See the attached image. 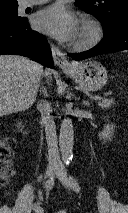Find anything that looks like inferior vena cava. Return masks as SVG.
I'll return each mask as SVG.
<instances>
[{
  "label": "inferior vena cava",
  "mask_w": 128,
  "mask_h": 213,
  "mask_svg": "<svg viewBox=\"0 0 128 213\" xmlns=\"http://www.w3.org/2000/svg\"><path fill=\"white\" fill-rule=\"evenodd\" d=\"M40 111L42 114V121L46 133L49 166L61 167L62 163L58 151L56 126L53 117L50 115V113L52 112L51 104L48 102L41 103Z\"/></svg>",
  "instance_id": "602c4592"
}]
</instances>
